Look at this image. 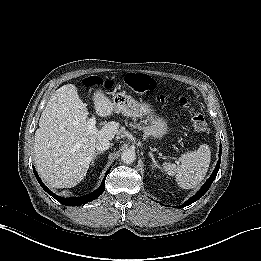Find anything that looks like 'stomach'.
Returning a JSON list of instances; mask_svg holds the SVG:
<instances>
[{"label": "stomach", "instance_id": "stomach-1", "mask_svg": "<svg viewBox=\"0 0 261 261\" xmlns=\"http://www.w3.org/2000/svg\"><path fill=\"white\" fill-rule=\"evenodd\" d=\"M114 107L117 111L125 116L134 118L147 117L149 121L146 127L147 134L154 139L162 138L168 132V125L164 118L158 117L149 103L138 102L131 96L125 93H119L113 101Z\"/></svg>", "mask_w": 261, "mask_h": 261}]
</instances>
